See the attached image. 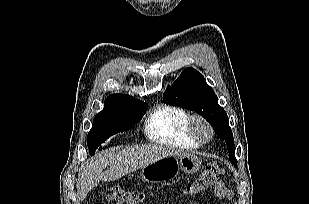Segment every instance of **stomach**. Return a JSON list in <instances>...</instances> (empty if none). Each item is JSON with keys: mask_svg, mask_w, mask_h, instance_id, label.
Returning <instances> with one entry per match:
<instances>
[{"mask_svg": "<svg viewBox=\"0 0 309 204\" xmlns=\"http://www.w3.org/2000/svg\"><path fill=\"white\" fill-rule=\"evenodd\" d=\"M201 167V160L195 155L181 154L167 156L148 164L141 170V177L149 183H159L175 178L180 171L193 174Z\"/></svg>", "mask_w": 309, "mask_h": 204, "instance_id": "obj_1", "label": "stomach"}]
</instances>
